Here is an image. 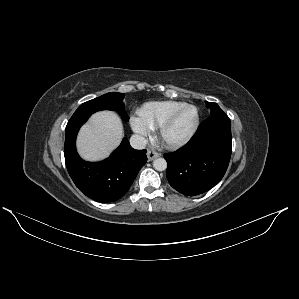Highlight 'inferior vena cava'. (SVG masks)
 Listing matches in <instances>:
<instances>
[{
	"label": "inferior vena cava",
	"instance_id": "obj_1",
	"mask_svg": "<svg viewBox=\"0 0 299 299\" xmlns=\"http://www.w3.org/2000/svg\"><path fill=\"white\" fill-rule=\"evenodd\" d=\"M130 144L134 149H144L147 144L145 137L141 135H132L130 138Z\"/></svg>",
	"mask_w": 299,
	"mask_h": 299
}]
</instances>
